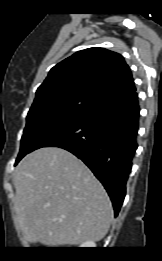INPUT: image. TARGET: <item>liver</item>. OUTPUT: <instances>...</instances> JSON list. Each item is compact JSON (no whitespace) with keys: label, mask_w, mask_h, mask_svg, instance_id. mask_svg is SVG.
<instances>
[{"label":"liver","mask_w":162,"mask_h":261,"mask_svg":"<svg viewBox=\"0 0 162 261\" xmlns=\"http://www.w3.org/2000/svg\"><path fill=\"white\" fill-rule=\"evenodd\" d=\"M14 207L24 238L48 246L99 241L107 234L113 209L101 183L70 152L38 149L14 173Z\"/></svg>","instance_id":"liver-1"}]
</instances>
